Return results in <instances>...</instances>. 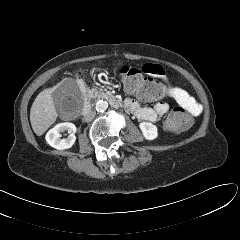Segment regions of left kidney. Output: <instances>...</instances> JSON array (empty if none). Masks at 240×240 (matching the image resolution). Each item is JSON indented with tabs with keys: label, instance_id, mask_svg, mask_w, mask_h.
I'll return each mask as SVG.
<instances>
[{
	"label": "left kidney",
	"instance_id": "left-kidney-1",
	"mask_svg": "<svg viewBox=\"0 0 240 240\" xmlns=\"http://www.w3.org/2000/svg\"><path fill=\"white\" fill-rule=\"evenodd\" d=\"M140 130L142 131V134L145 139L147 140H154L158 136V130L156 125L150 123V122H141L139 124Z\"/></svg>",
	"mask_w": 240,
	"mask_h": 240
}]
</instances>
